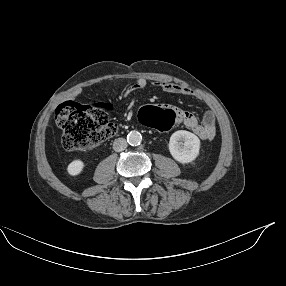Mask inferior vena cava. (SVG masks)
I'll use <instances>...</instances> for the list:
<instances>
[{
  "label": "inferior vena cava",
  "mask_w": 286,
  "mask_h": 286,
  "mask_svg": "<svg viewBox=\"0 0 286 286\" xmlns=\"http://www.w3.org/2000/svg\"><path fill=\"white\" fill-rule=\"evenodd\" d=\"M127 148V141L124 138H117L114 140L113 149L116 152L123 151Z\"/></svg>",
  "instance_id": "602c4592"
}]
</instances>
